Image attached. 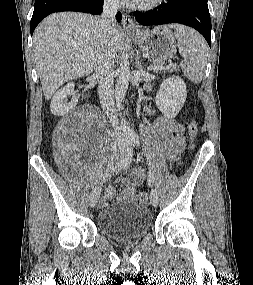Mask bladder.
<instances>
[{
	"mask_svg": "<svg viewBox=\"0 0 253 285\" xmlns=\"http://www.w3.org/2000/svg\"><path fill=\"white\" fill-rule=\"evenodd\" d=\"M151 223L149 209L136 201L105 206L98 215L101 232L116 241L137 240L143 237L149 231Z\"/></svg>",
	"mask_w": 253,
	"mask_h": 285,
	"instance_id": "bladder-1",
	"label": "bladder"
}]
</instances>
